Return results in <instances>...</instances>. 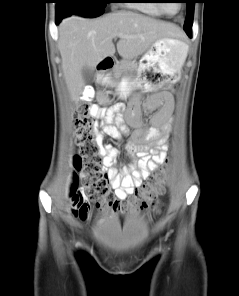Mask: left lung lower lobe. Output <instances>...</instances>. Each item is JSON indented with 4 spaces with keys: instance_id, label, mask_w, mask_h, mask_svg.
<instances>
[{
    "instance_id": "0a47b994",
    "label": "left lung lower lobe",
    "mask_w": 239,
    "mask_h": 296,
    "mask_svg": "<svg viewBox=\"0 0 239 296\" xmlns=\"http://www.w3.org/2000/svg\"><path fill=\"white\" fill-rule=\"evenodd\" d=\"M184 30L186 31L187 35L191 38L192 37V28L184 27Z\"/></svg>"
}]
</instances>
